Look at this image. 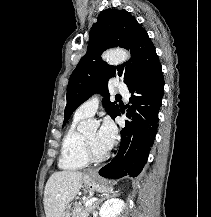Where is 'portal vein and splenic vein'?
<instances>
[{
  "mask_svg": "<svg viewBox=\"0 0 211 217\" xmlns=\"http://www.w3.org/2000/svg\"><path fill=\"white\" fill-rule=\"evenodd\" d=\"M96 200H97V198H95V197L90 198V199L85 203V207L90 206V205L93 204Z\"/></svg>",
  "mask_w": 211,
  "mask_h": 217,
  "instance_id": "1",
  "label": "portal vein and splenic vein"
}]
</instances>
